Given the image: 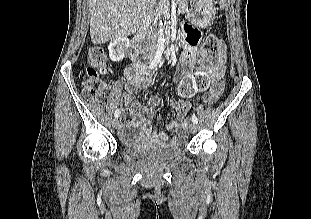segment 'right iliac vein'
<instances>
[{
  "mask_svg": "<svg viewBox=\"0 0 311 219\" xmlns=\"http://www.w3.org/2000/svg\"><path fill=\"white\" fill-rule=\"evenodd\" d=\"M112 127H113L114 129H117V128L119 127V120H118L117 118H114V119L112 120Z\"/></svg>",
  "mask_w": 311,
  "mask_h": 219,
  "instance_id": "right-iliac-vein-1",
  "label": "right iliac vein"
}]
</instances>
